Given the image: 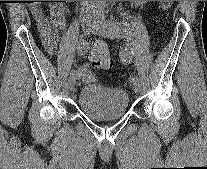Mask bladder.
Here are the masks:
<instances>
[{
	"label": "bladder",
	"instance_id": "31cf9c89",
	"mask_svg": "<svg viewBox=\"0 0 207 169\" xmlns=\"http://www.w3.org/2000/svg\"><path fill=\"white\" fill-rule=\"evenodd\" d=\"M78 107L92 120H118L128 112L129 96L121 88L90 83L81 88Z\"/></svg>",
	"mask_w": 207,
	"mask_h": 169
}]
</instances>
